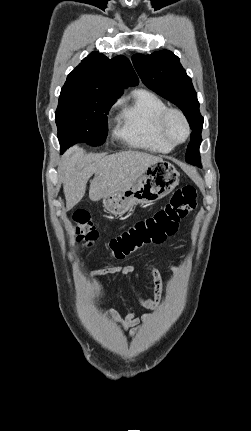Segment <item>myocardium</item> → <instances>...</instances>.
<instances>
[{
    "instance_id": "1",
    "label": "myocardium",
    "mask_w": 251,
    "mask_h": 431,
    "mask_svg": "<svg viewBox=\"0 0 251 431\" xmlns=\"http://www.w3.org/2000/svg\"><path fill=\"white\" fill-rule=\"evenodd\" d=\"M171 115L179 116L184 123L185 129H186V135L182 141H174L168 134L167 122H168V119ZM158 132H159L160 136L162 137V139L166 143L175 147V146H178V145L185 143L189 139L190 134H191V127H190V123H189L186 115L184 114V112L182 110H180L178 108H166L161 113V115L158 119Z\"/></svg>"
}]
</instances>
